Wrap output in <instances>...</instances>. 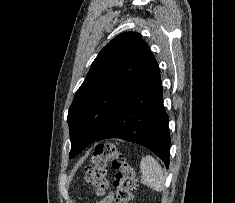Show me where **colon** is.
I'll return each instance as SVG.
<instances>
[{
    "label": "colon",
    "mask_w": 235,
    "mask_h": 203,
    "mask_svg": "<svg viewBox=\"0 0 235 203\" xmlns=\"http://www.w3.org/2000/svg\"><path fill=\"white\" fill-rule=\"evenodd\" d=\"M115 172L116 197L114 203H129L134 197L136 181L133 168L123 153L113 144H100L93 151L85 170V181L97 194L109 187L108 167Z\"/></svg>",
    "instance_id": "colon-1"
}]
</instances>
